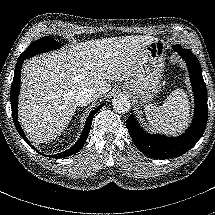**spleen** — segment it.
<instances>
[{
  "mask_svg": "<svg viewBox=\"0 0 215 215\" xmlns=\"http://www.w3.org/2000/svg\"><path fill=\"white\" fill-rule=\"evenodd\" d=\"M145 114L155 131L175 135L189 122V101L181 90H175L164 99L162 104H148Z\"/></svg>",
  "mask_w": 215,
  "mask_h": 215,
  "instance_id": "1",
  "label": "spleen"
}]
</instances>
